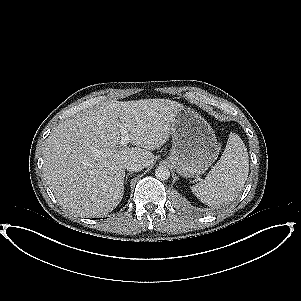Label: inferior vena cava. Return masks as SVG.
Wrapping results in <instances>:
<instances>
[{
	"label": "inferior vena cava",
	"mask_w": 301,
	"mask_h": 301,
	"mask_svg": "<svg viewBox=\"0 0 301 301\" xmlns=\"http://www.w3.org/2000/svg\"><path fill=\"white\" fill-rule=\"evenodd\" d=\"M125 168L128 170V171H134V172H138V171H141L144 166L143 164L141 163H137V162H128L126 165H125Z\"/></svg>",
	"instance_id": "inferior-vena-cava-1"
}]
</instances>
